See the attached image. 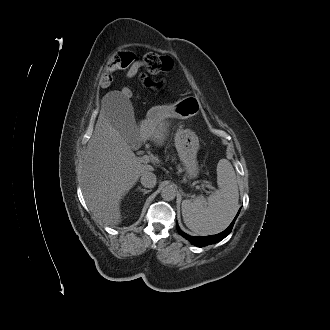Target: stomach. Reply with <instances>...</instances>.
Segmentation results:
<instances>
[{"mask_svg": "<svg viewBox=\"0 0 330 330\" xmlns=\"http://www.w3.org/2000/svg\"><path fill=\"white\" fill-rule=\"evenodd\" d=\"M200 100L195 96H186L171 106L162 108L165 117L187 119L196 116L201 111ZM163 118V116H160ZM180 161L189 179H195L199 175L197 162V152L199 149V139L195 132L190 129H183L180 126L174 137Z\"/></svg>", "mask_w": 330, "mask_h": 330, "instance_id": "stomach-1", "label": "stomach"}]
</instances>
